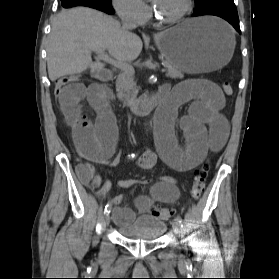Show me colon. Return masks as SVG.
<instances>
[{
  "label": "colon",
  "mask_w": 279,
  "mask_h": 279,
  "mask_svg": "<svg viewBox=\"0 0 279 279\" xmlns=\"http://www.w3.org/2000/svg\"><path fill=\"white\" fill-rule=\"evenodd\" d=\"M76 79L73 77H61L56 81L55 84V95L58 97L62 89L70 83H73ZM222 89L228 96L232 95L233 89L231 84L223 83ZM209 172L208 163L202 164L195 170V177L191 187V194L193 198L199 199L205 190L206 179ZM151 214L160 219L168 220L173 217V212L167 208L155 207L151 210Z\"/></svg>",
  "instance_id": "colon-1"
}]
</instances>
